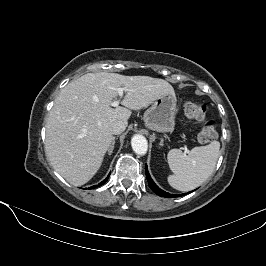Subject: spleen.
Masks as SVG:
<instances>
[{"label":"spleen","instance_id":"3e777b00","mask_svg":"<svg viewBox=\"0 0 266 266\" xmlns=\"http://www.w3.org/2000/svg\"><path fill=\"white\" fill-rule=\"evenodd\" d=\"M219 149L218 141L194 147L187 155L179 149H171L167 155L168 165L173 172L168 176L170 186L184 192L200 186L213 173Z\"/></svg>","mask_w":266,"mask_h":266}]
</instances>
